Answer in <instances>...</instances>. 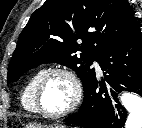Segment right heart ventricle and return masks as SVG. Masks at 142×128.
Here are the masks:
<instances>
[{
	"mask_svg": "<svg viewBox=\"0 0 142 128\" xmlns=\"http://www.w3.org/2000/svg\"><path fill=\"white\" fill-rule=\"evenodd\" d=\"M46 69H38L25 83L22 92H21V104L26 111L36 112L35 103H34V90L35 85Z\"/></svg>",
	"mask_w": 142,
	"mask_h": 128,
	"instance_id": "e07e8e85",
	"label": "right heart ventricle"
}]
</instances>
